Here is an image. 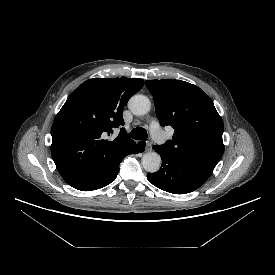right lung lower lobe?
I'll return each mask as SVG.
<instances>
[{"label":"right lung lower lobe","instance_id":"right-lung-lower-lobe-1","mask_svg":"<svg viewBox=\"0 0 275 275\" xmlns=\"http://www.w3.org/2000/svg\"><path fill=\"white\" fill-rule=\"evenodd\" d=\"M145 145V142H139L108 169L98 174L68 184L81 191H92L107 186L117 177L119 172V164L123 158L128 154H138L144 151Z\"/></svg>","mask_w":275,"mask_h":275}]
</instances>
